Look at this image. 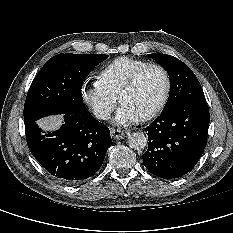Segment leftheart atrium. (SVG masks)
I'll use <instances>...</instances> for the list:
<instances>
[{
	"label": "left heart atrium",
	"mask_w": 233,
	"mask_h": 233,
	"mask_svg": "<svg viewBox=\"0 0 233 233\" xmlns=\"http://www.w3.org/2000/svg\"><path fill=\"white\" fill-rule=\"evenodd\" d=\"M141 117L127 105H123L117 111L115 121L120 125H131L139 122Z\"/></svg>",
	"instance_id": "obj_1"
}]
</instances>
